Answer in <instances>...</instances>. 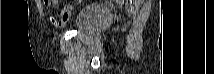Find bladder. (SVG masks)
<instances>
[{
	"instance_id": "obj_1",
	"label": "bladder",
	"mask_w": 214,
	"mask_h": 74,
	"mask_svg": "<svg viewBox=\"0 0 214 74\" xmlns=\"http://www.w3.org/2000/svg\"><path fill=\"white\" fill-rule=\"evenodd\" d=\"M112 19V14L106 8L90 4L74 19V30L78 33L95 35L103 24Z\"/></svg>"
}]
</instances>
